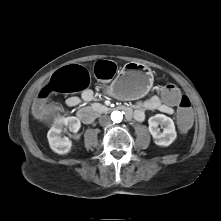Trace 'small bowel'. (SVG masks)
Instances as JSON below:
<instances>
[{"mask_svg": "<svg viewBox=\"0 0 221 221\" xmlns=\"http://www.w3.org/2000/svg\"><path fill=\"white\" fill-rule=\"evenodd\" d=\"M94 99V92L91 89H86L80 96H71L66 100L69 107H77L82 103L90 102ZM178 105V104H177ZM175 105V106H177ZM175 106H168L161 102L159 96H152L144 101L136 103L133 117L135 120L142 122L146 117V111H159L167 115L174 113Z\"/></svg>", "mask_w": 221, "mask_h": 221, "instance_id": "c3829d8e", "label": "small bowel"}]
</instances>
